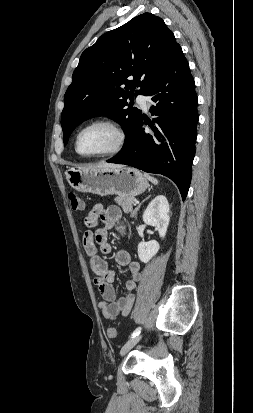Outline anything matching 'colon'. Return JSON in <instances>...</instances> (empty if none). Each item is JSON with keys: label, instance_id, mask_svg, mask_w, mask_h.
Masks as SVG:
<instances>
[{"label": "colon", "instance_id": "obj_1", "mask_svg": "<svg viewBox=\"0 0 253 413\" xmlns=\"http://www.w3.org/2000/svg\"><path fill=\"white\" fill-rule=\"evenodd\" d=\"M68 200L73 210L81 211L84 209V203L82 199L73 191L68 193ZM116 329L114 327H110L107 330V336L109 338H115L116 336Z\"/></svg>", "mask_w": 253, "mask_h": 413}]
</instances>
